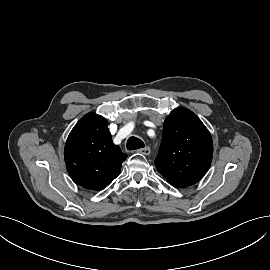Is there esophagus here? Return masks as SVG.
Wrapping results in <instances>:
<instances>
[{
	"instance_id": "obj_1",
	"label": "esophagus",
	"mask_w": 270,
	"mask_h": 270,
	"mask_svg": "<svg viewBox=\"0 0 270 270\" xmlns=\"http://www.w3.org/2000/svg\"><path fill=\"white\" fill-rule=\"evenodd\" d=\"M137 152L143 155H149L151 153V149L150 147L146 146L144 148L138 149Z\"/></svg>"
}]
</instances>
